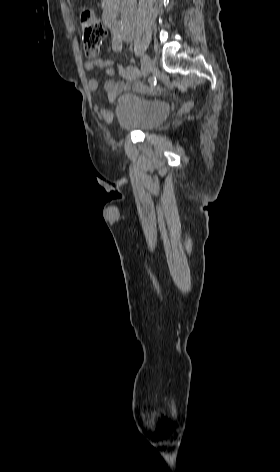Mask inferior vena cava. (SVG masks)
<instances>
[{"instance_id":"602c4592","label":"inferior vena cava","mask_w":280,"mask_h":472,"mask_svg":"<svg viewBox=\"0 0 280 472\" xmlns=\"http://www.w3.org/2000/svg\"><path fill=\"white\" fill-rule=\"evenodd\" d=\"M136 0H122L121 24L124 32L132 34L135 29Z\"/></svg>"}]
</instances>
